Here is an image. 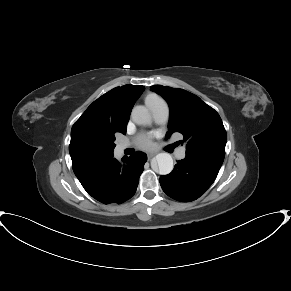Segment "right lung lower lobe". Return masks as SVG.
I'll use <instances>...</instances> for the list:
<instances>
[{"instance_id": "right-lung-lower-lobe-1", "label": "right lung lower lobe", "mask_w": 291, "mask_h": 291, "mask_svg": "<svg viewBox=\"0 0 291 291\" xmlns=\"http://www.w3.org/2000/svg\"><path fill=\"white\" fill-rule=\"evenodd\" d=\"M147 161L146 154L136 152L119 162L113 154L80 159L72 168L83 188L96 200L121 204L136 192L139 177Z\"/></svg>"}]
</instances>
